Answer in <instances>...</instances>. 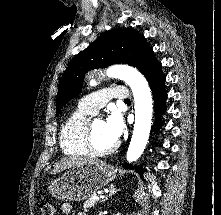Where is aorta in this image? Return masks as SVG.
Here are the masks:
<instances>
[{"instance_id": "1", "label": "aorta", "mask_w": 221, "mask_h": 215, "mask_svg": "<svg viewBox=\"0 0 221 215\" xmlns=\"http://www.w3.org/2000/svg\"><path fill=\"white\" fill-rule=\"evenodd\" d=\"M108 77L123 80L130 86L135 104V124L133 135L127 150L128 162L136 161L143 153L148 142L153 112V100L145 77L128 65H114L107 69ZM94 82H91L93 85Z\"/></svg>"}]
</instances>
